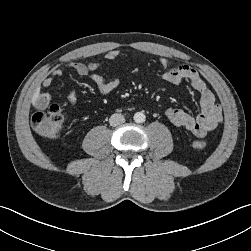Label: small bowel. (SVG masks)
<instances>
[{"instance_id": "obj_1", "label": "small bowel", "mask_w": 251, "mask_h": 251, "mask_svg": "<svg viewBox=\"0 0 251 251\" xmlns=\"http://www.w3.org/2000/svg\"><path fill=\"white\" fill-rule=\"evenodd\" d=\"M120 56V52L116 49L106 53L105 58L108 61H114ZM160 65L163 68L162 79L171 84H180L187 81L200 97V113L192 116L189 113L177 109L168 108L165 112L167 119L175 126L183 127L191 131L197 137H203L208 131L215 129L222 120V111L217 104L214 94L207 87L205 82L200 78L198 72L188 65L170 66V61L166 57L160 59ZM101 64L99 62H90L88 64L72 63L68 68L73 69L80 76H88L102 94H109L115 91L120 80L117 77L105 78L98 73ZM65 68H56L51 75L45 78L41 85L43 88H50L55 79L65 73ZM70 103L77 102V95L74 91L68 94ZM51 101L49 93L41 92L36 97L35 105L37 108H46Z\"/></svg>"}]
</instances>
